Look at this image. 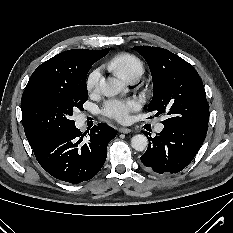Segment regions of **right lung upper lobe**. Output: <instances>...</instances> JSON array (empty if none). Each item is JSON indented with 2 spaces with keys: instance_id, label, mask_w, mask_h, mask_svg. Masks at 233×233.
<instances>
[{
  "instance_id": "right-lung-upper-lobe-1",
  "label": "right lung upper lobe",
  "mask_w": 233,
  "mask_h": 233,
  "mask_svg": "<svg viewBox=\"0 0 233 233\" xmlns=\"http://www.w3.org/2000/svg\"><path fill=\"white\" fill-rule=\"evenodd\" d=\"M110 48L103 50L73 49L64 51L36 68L31 75L25 91L38 84L68 86L75 83L83 70L91 67L104 57ZM47 137L39 139L31 146L37 147Z\"/></svg>"
}]
</instances>
